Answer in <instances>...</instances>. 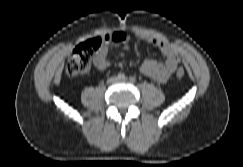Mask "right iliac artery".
I'll use <instances>...</instances> for the list:
<instances>
[{
  "mask_svg": "<svg viewBox=\"0 0 243 167\" xmlns=\"http://www.w3.org/2000/svg\"><path fill=\"white\" fill-rule=\"evenodd\" d=\"M118 78H119L120 80H123V79H125V75H124L123 73H119V74H118Z\"/></svg>",
  "mask_w": 243,
  "mask_h": 167,
  "instance_id": "1",
  "label": "right iliac artery"
}]
</instances>
